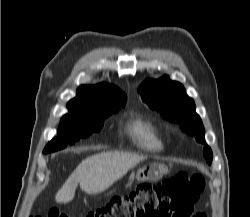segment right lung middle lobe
Listing matches in <instances>:
<instances>
[{
    "instance_id": "right-lung-middle-lobe-1",
    "label": "right lung middle lobe",
    "mask_w": 250,
    "mask_h": 217,
    "mask_svg": "<svg viewBox=\"0 0 250 217\" xmlns=\"http://www.w3.org/2000/svg\"><path fill=\"white\" fill-rule=\"evenodd\" d=\"M118 111V110H117ZM110 111L98 114L85 121H65L61 122L58 129L59 137L53 138L44 148L43 153H51L67 146V143L74 144L80 138H85L93 132H98L104 124V120L112 113Z\"/></svg>"
}]
</instances>
